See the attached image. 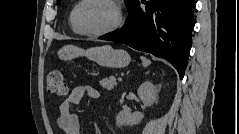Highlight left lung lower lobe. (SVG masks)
<instances>
[{"label":"left lung lower lobe","mask_w":239,"mask_h":134,"mask_svg":"<svg viewBox=\"0 0 239 134\" xmlns=\"http://www.w3.org/2000/svg\"><path fill=\"white\" fill-rule=\"evenodd\" d=\"M143 3L145 8L142 9L140 2L135 0L126 25L100 39L123 43L164 58L177 69L182 79L192 45L195 1L149 0Z\"/></svg>","instance_id":"1"}]
</instances>
